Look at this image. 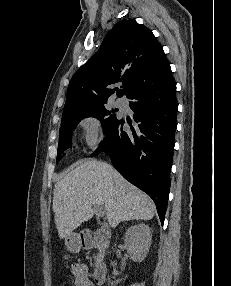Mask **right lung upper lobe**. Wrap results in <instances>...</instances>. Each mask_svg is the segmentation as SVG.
I'll return each instance as SVG.
<instances>
[{
	"mask_svg": "<svg viewBox=\"0 0 231 286\" xmlns=\"http://www.w3.org/2000/svg\"><path fill=\"white\" fill-rule=\"evenodd\" d=\"M171 72L166 55L153 33L134 19L118 22L99 50L73 75L63 115L107 102L109 85L122 82V97L136 82Z\"/></svg>",
	"mask_w": 231,
	"mask_h": 286,
	"instance_id": "obj_1",
	"label": "right lung upper lobe"
}]
</instances>
